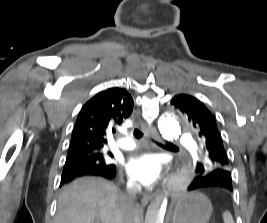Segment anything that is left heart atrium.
Returning <instances> with one entry per match:
<instances>
[{
  "label": "left heart atrium",
  "instance_id": "39dd6f15",
  "mask_svg": "<svg viewBox=\"0 0 267 223\" xmlns=\"http://www.w3.org/2000/svg\"><path fill=\"white\" fill-rule=\"evenodd\" d=\"M164 161L155 154H138L126 163L128 174L145 186H152L163 177Z\"/></svg>",
  "mask_w": 267,
  "mask_h": 223
}]
</instances>
